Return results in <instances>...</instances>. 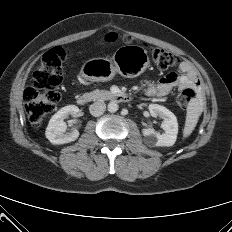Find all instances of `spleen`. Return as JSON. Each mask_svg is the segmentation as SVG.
Masks as SVG:
<instances>
[{
	"label": "spleen",
	"instance_id": "1",
	"mask_svg": "<svg viewBox=\"0 0 232 232\" xmlns=\"http://www.w3.org/2000/svg\"><path fill=\"white\" fill-rule=\"evenodd\" d=\"M200 111L201 110L198 100L197 99L191 100L187 107L185 127L183 131L184 137H188L196 127L200 115Z\"/></svg>",
	"mask_w": 232,
	"mask_h": 232
}]
</instances>
